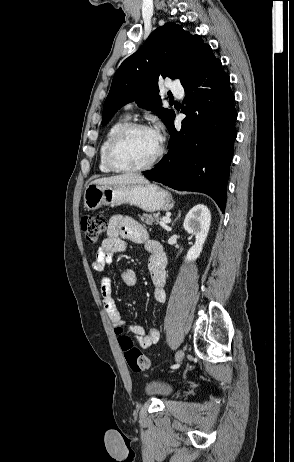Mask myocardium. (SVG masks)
<instances>
[{
	"label": "myocardium",
	"mask_w": 294,
	"mask_h": 462,
	"mask_svg": "<svg viewBox=\"0 0 294 462\" xmlns=\"http://www.w3.org/2000/svg\"><path fill=\"white\" fill-rule=\"evenodd\" d=\"M134 130H148L154 131L152 127L147 124L140 123V122H128L123 125L110 139L105 152V160L110 169L116 172L122 173H139L144 172L152 167H154L158 161L161 159L164 153L163 145L159 144V148L157 153L154 157L148 161L146 164L138 167H127L119 164L115 159V151L119 143L123 140V138Z\"/></svg>",
	"instance_id": "1"
}]
</instances>
